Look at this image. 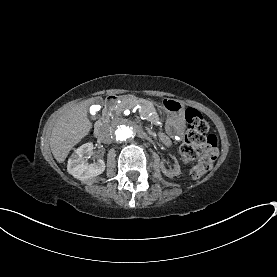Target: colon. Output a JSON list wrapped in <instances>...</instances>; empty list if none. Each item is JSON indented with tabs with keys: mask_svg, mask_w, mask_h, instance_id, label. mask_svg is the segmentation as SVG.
Segmentation results:
<instances>
[{
	"mask_svg": "<svg viewBox=\"0 0 277 277\" xmlns=\"http://www.w3.org/2000/svg\"><path fill=\"white\" fill-rule=\"evenodd\" d=\"M99 116H94L97 118ZM187 122V135L180 147L182 163L195 162L190 173L198 178L205 174L215 161L217 151V138L208 135V123L203 115L196 109L189 108L185 111Z\"/></svg>",
	"mask_w": 277,
	"mask_h": 277,
	"instance_id": "obj_1",
	"label": "colon"
}]
</instances>
